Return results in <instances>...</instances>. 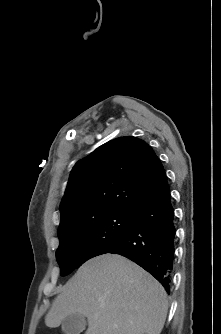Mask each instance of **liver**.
<instances>
[{"label": "liver", "instance_id": "6515ba94", "mask_svg": "<svg viewBox=\"0 0 221 334\" xmlns=\"http://www.w3.org/2000/svg\"><path fill=\"white\" fill-rule=\"evenodd\" d=\"M167 293L136 263L103 254L84 263L54 299L45 317L56 328L69 315L87 317L85 334H160L167 317Z\"/></svg>", "mask_w": 221, "mask_h": 334}]
</instances>
